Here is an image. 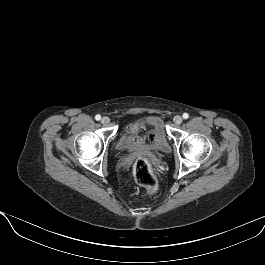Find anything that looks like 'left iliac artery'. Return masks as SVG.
I'll list each match as a JSON object with an SVG mask.
<instances>
[{"mask_svg": "<svg viewBox=\"0 0 265 265\" xmlns=\"http://www.w3.org/2000/svg\"><path fill=\"white\" fill-rule=\"evenodd\" d=\"M188 117H189V114H188V113H184V114H183V118H184V119H187Z\"/></svg>", "mask_w": 265, "mask_h": 265, "instance_id": "1", "label": "left iliac artery"}]
</instances>
